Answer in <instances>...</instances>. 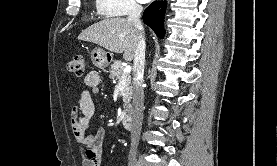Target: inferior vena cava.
I'll use <instances>...</instances> for the list:
<instances>
[{
    "label": "inferior vena cava",
    "instance_id": "602c4592",
    "mask_svg": "<svg viewBox=\"0 0 277 166\" xmlns=\"http://www.w3.org/2000/svg\"><path fill=\"white\" fill-rule=\"evenodd\" d=\"M142 6L133 3L130 11L128 13V22L133 23L139 31H143V26L140 21V15L142 12ZM145 39L142 36L137 45V49L134 55V67H133V126L131 131V148H130V157H135L137 152V147L139 144V138L141 134L142 128V120H143V110H144V91H143V74H144V66H145Z\"/></svg>",
    "mask_w": 277,
    "mask_h": 166
}]
</instances>
